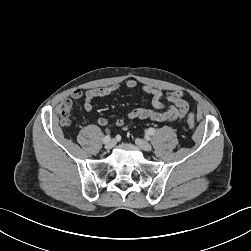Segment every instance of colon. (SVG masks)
Returning a JSON list of instances; mask_svg holds the SVG:
<instances>
[{"label": "colon", "instance_id": "colon-1", "mask_svg": "<svg viewBox=\"0 0 251 251\" xmlns=\"http://www.w3.org/2000/svg\"><path fill=\"white\" fill-rule=\"evenodd\" d=\"M70 110L63 109L61 113V124L63 126H70L71 125V119L69 117ZM186 123L189 128H194L195 126V117L192 113L187 115Z\"/></svg>", "mask_w": 251, "mask_h": 251}]
</instances>
